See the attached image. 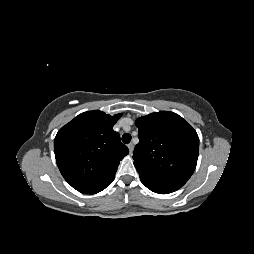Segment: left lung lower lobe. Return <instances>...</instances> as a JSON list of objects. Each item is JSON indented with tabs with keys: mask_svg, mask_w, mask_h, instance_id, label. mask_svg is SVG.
Listing matches in <instances>:
<instances>
[{
	"mask_svg": "<svg viewBox=\"0 0 254 254\" xmlns=\"http://www.w3.org/2000/svg\"><path fill=\"white\" fill-rule=\"evenodd\" d=\"M140 176L141 182L151 191L159 194H168L181 188V185L159 181L144 176Z\"/></svg>",
	"mask_w": 254,
	"mask_h": 254,
	"instance_id": "left-lung-lower-lobe-1",
	"label": "left lung lower lobe"
}]
</instances>
